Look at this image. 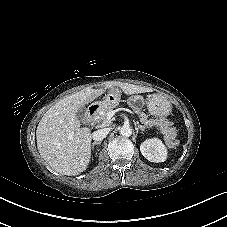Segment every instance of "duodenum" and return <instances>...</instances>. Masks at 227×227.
<instances>
[{"label":"duodenum","mask_w":227,"mask_h":227,"mask_svg":"<svg viewBox=\"0 0 227 227\" xmlns=\"http://www.w3.org/2000/svg\"><path fill=\"white\" fill-rule=\"evenodd\" d=\"M97 109H98V106L96 105H90L88 107L84 117L82 118V123L84 125H89L92 122V120L97 114Z\"/></svg>","instance_id":"duodenum-1"}]
</instances>
